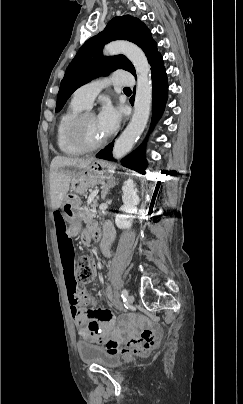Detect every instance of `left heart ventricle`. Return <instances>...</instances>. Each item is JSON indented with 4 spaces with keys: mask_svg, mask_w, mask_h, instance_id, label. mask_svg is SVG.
Instances as JSON below:
<instances>
[{
    "mask_svg": "<svg viewBox=\"0 0 243 404\" xmlns=\"http://www.w3.org/2000/svg\"><path fill=\"white\" fill-rule=\"evenodd\" d=\"M80 134L82 138L90 144L103 140L99 133L95 116H89L83 121L80 126Z\"/></svg>",
    "mask_w": 243,
    "mask_h": 404,
    "instance_id": "left-heart-ventricle-1",
    "label": "left heart ventricle"
}]
</instances>
